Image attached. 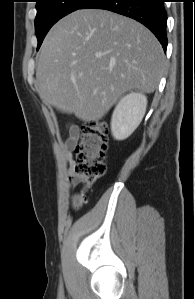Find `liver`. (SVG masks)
Returning a JSON list of instances; mask_svg holds the SVG:
<instances>
[{
	"instance_id": "obj_1",
	"label": "liver",
	"mask_w": 195,
	"mask_h": 299,
	"mask_svg": "<svg viewBox=\"0 0 195 299\" xmlns=\"http://www.w3.org/2000/svg\"><path fill=\"white\" fill-rule=\"evenodd\" d=\"M164 63L162 46L142 24L106 10L81 9L45 37L36 85L59 111L97 121L126 92L152 93Z\"/></svg>"
}]
</instances>
